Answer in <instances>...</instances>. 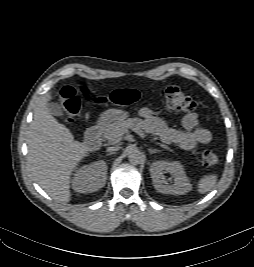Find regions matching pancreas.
<instances>
[{
  "label": "pancreas",
  "instance_id": "cf45deb5",
  "mask_svg": "<svg viewBox=\"0 0 254 267\" xmlns=\"http://www.w3.org/2000/svg\"><path fill=\"white\" fill-rule=\"evenodd\" d=\"M139 121L140 120L136 118H129L125 121H117L109 124L103 128V137L110 142H115L116 139H121L122 135L126 133L128 129L138 125ZM160 146L169 149L166 145L161 144Z\"/></svg>",
  "mask_w": 254,
  "mask_h": 267
}]
</instances>
